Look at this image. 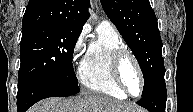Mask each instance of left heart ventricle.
Segmentation results:
<instances>
[{"label": "left heart ventricle", "mask_w": 193, "mask_h": 112, "mask_svg": "<svg viewBox=\"0 0 193 112\" xmlns=\"http://www.w3.org/2000/svg\"><path fill=\"white\" fill-rule=\"evenodd\" d=\"M122 77L132 94H138L140 91V80L137 70L130 59H126L122 64Z\"/></svg>", "instance_id": "b2bd125f"}]
</instances>
